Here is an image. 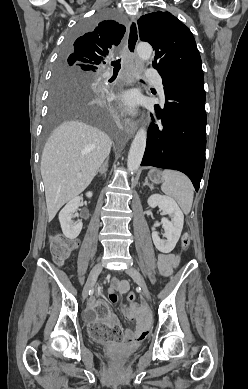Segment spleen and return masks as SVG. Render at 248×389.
<instances>
[{"label":"spleen","mask_w":248,"mask_h":389,"mask_svg":"<svg viewBox=\"0 0 248 389\" xmlns=\"http://www.w3.org/2000/svg\"><path fill=\"white\" fill-rule=\"evenodd\" d=\"M161 189L176 200L185 214H189L194 198V188L186 175L179 171L164 170Z\"/></svg>","instance_id":"3e777b00"}]
</instances>
